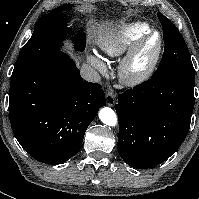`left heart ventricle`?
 <instances>
[{
    "label": "left heart ventricle",
    "instance_id": "left-heart-ventricle-1",
    "mask_svg": "<svg viewBox=\"0 0 199 199\" xmlns=\"http://www.w3.org/2000/svg\"><path fill=\"white\" fill-rule=\"evenodd\" d=\"M158 43V36L154 35L152 36L143 46L138 59H137V66L138 67H142L144 66L148 60L150 59V57L152 56V54L154 53L156 46Z\"/></svg>",
    "mask_w": 199,
    "mask_h": 199
}]
</instances>
